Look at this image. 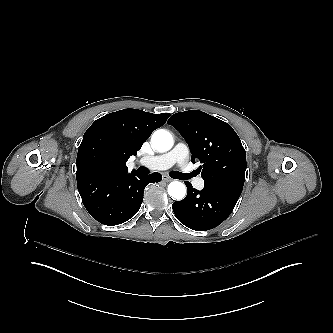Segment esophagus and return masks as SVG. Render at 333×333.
Wrapping results in <instances>:
<instances>
[{
  "mask_svg": "<svg viewBox=\"0 0 333 333\" xmlns=\"http://www.w3.org/2000/svg\"><path fill=\"white\" fill-rule=\"evenodd\" d=\"M163 181L165 182H171L173 179H171L168 175H163L162 176Z\"/></svg>",
  "mask_w": 333,
  "mask_h": 333,
  "instance_id": "esophagus-1",
  "label": "esophagus"
}]
</instances>
